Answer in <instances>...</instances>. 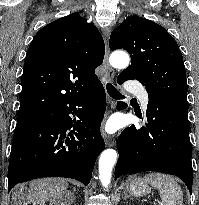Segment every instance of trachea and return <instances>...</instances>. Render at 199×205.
Masks as SVG:
<instances>
[{"mask_svg": "<svg viewBox=\"0 0 199 205\" xmlns=\"http://www.w3.org/2000/svg\"><path fill=\"white\" fill-rule=\"evenodd\" d=\"M106 89L108 94L113 97L114 99H120L123 98L124 96H122L115 88L112 84L107 83L106 84Z\"/></svg>", "mask_w": 199, "mask_h": 205, "instance_id": "trachea-1", "label": "trachea"}]
</instances>
